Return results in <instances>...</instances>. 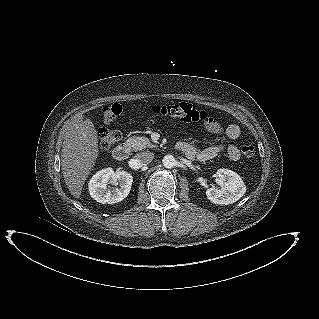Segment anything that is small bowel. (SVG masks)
I'll return each mask as SVG.
<instances>
[{
    "mask_svg": "<svg viewBox=\"0 0 319 319\" xmlns=\"http://www.w3.org/2000/svg\"><path fill=\"white\" fill-rule=\"evenodd\" d=\"M205 127L208 131L212 133L223 134L229 143L213 145L205 149H199L195 145L190 143H180L185 148V155L196 162H205L211 159H214L226 153L227 157L231 161H238L241 157L240 149L233 143L240 138L241 130L235 124H230L226 127L220 126L215 120L209 119Z\"/></svg>",
    "mask_w": 319,
    "mask_h": 319,
    "instance_id": "c3829d8e",
    "label": "small bowel"
}]
</instances>
